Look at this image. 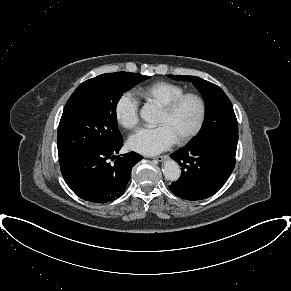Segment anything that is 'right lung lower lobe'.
<instances>
[{"instance_id":"98d812e1","label":"right lung lower lobe","mask_w":291,"mask_h":291,"mask_svg":"<svg viewBox=\"0 0 291 291\" xmlns=\"http://www.w3.org/2000/svg\"><path fill=\"white\" fill-rule=\"evenodd\" d=\"M122 146L120 139L110 146L83 151L60 164L67 185L77 196L91 202L106 203L120 197L131 178L132 167L143 158L136 152L115 156Z\"/></svg>"}]
</instances>
